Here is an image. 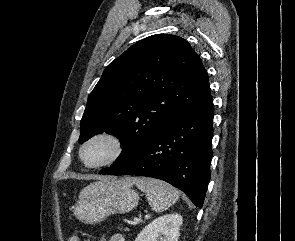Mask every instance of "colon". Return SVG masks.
Instances as JSON below:
<instances>
[{"mask_svg":"<svg viewBox=\"0 0 295 241\" xmlns=\"http://www.w3.org/2000/svg\"><path fill=\"white\" fill-rule=\"evenodd\" d=\"M69 241H79V239L77 237H72Z\"/></svg>","mask_w":295,"mask_h":241,"instance_id":"colon-1","label":"colon"}]
</instances>
